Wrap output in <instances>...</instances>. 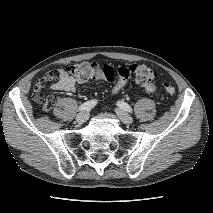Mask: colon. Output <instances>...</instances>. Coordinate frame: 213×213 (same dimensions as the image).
<instances>
[{
    "instance_id": "5ec220e1",
    "label": "colon",
    "mask_w": 213,
    "mask_h": 213,
    "mask_svg": "<svg viewBox=\"0 0 213 213\" xmlns=\"http://www.w3.org/2000/svg\"><path fill=\"white\" fill-rule=\"evenodd\" d=\"M68 73L79 82H88L96 80L116 81L114 94L119 93L123 85L129 79L145 88L153 85L157 78V71L144 64H129L114 68L109 64H99L96 62H81L68 68ZM53 73L43 76L34 86L33 99L42 106L43 110H49L53 105V98L44 92L45 85L52 80ZM164 90L174 95L176 90L168 83L163 84Z\"/></svg>"
}]
</instances>
